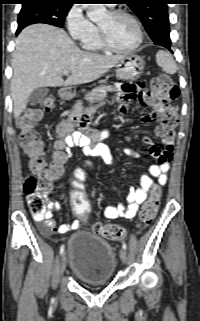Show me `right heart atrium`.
I'll return each instance as SVG.
<instances>
[{"label": "right heart atrium", "mask_w": 200, "mask_h": 321, "mask_svg": "<svg viewBox=\"0 0 200 321\" xmlns=\"http://www.w3.org/2000/svg\"><path fill=\"white\" fill-rule=\"evenodd\" d=\"M66 27L73 39L82 40L94 30V24L87 18L80 5H73L66 15Z\"/></svg>", "instance_id": "1"}]
</instances>
